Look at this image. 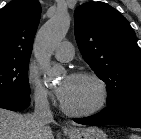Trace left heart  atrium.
Instances as JSON below:
<instances>
[{"instance_id": "obj_1", "label": "left heart atrium", "mask_w": 141, "mask_h": 139, "mask_svg": "<svg viewBox=\"0 0 141 139\" xmlns=\"http://www.w3.org/2000/svg\"><path fill=\"white\" fill-rule=\"evenodd\" d=\"M57 94L61 100H63L66 94V85L59 86L57 89Z\"/></svg>"}]
</instances>
